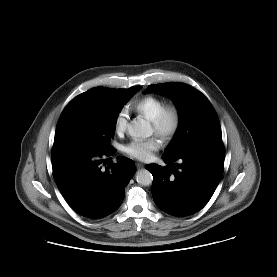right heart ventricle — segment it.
I'll use <instances>...</instances> for the list:
<instances>
[{
    "label": "right heart ventricle",
    "instance_id": "right-heart-ventricle-1",
    "mask_svg": "<svg viewBox=\"0 0 277 277\" xmlns=\"http://www.w3.org/2000/svg\"><path fill=\"white\" fill-rule=\"evenodd\" d=\"M166 105L164 99L154 96L146 95L132 103V109L149 121H153Z\"/></svg>",
    "mask_w": 277,
    "mask_h": 277
}]
</instances>
